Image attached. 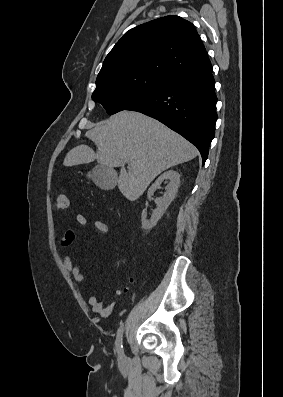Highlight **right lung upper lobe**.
<instances>
[{"label":"right lung upper lobe","mask_w":283,"mask_h":397,"mask_svg":"<svg viewBox=\"0 0 283 397\" xmlns=\"http://www.w3.org/2000/svg\"><path fill=\"white\" fill-rule=\"evenodd\" d=\"M209 63L194 25L179 16H166L130 29L105 58L96 82L132 75L167 81Z\"/></svg>","instance_id":"1"}]
</instances>
